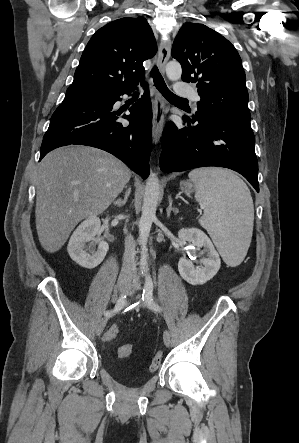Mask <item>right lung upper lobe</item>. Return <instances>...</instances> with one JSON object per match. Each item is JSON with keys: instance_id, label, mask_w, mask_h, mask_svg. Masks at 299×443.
I'll return each mask as SVG.
<instances>
[{"instance_id": "cb5924a9", "label": "right lung upper lobe", "mask_w": 299, "mask_h": 443, "mask_svg": "<svg viewBox=\"0 0 299 443\" xmlns=\"http://www.w3.org/2000/svg\"><path fill=\"white\" fill-rule=\"evenodd\" d=\"M156 52V40L143 17L110 22L88 42L70 87L104 92L133 88L143 79V61Z\"/></svg>"}]
</instances>
